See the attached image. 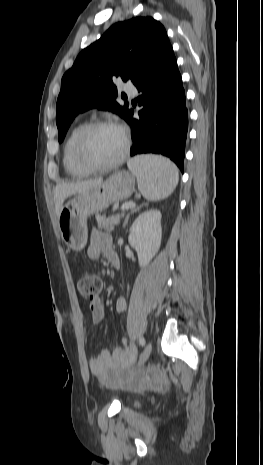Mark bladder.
<instances>
[{
  "label": "bladder",
  "instance_id": "bladder-1",
  "mask_svg": "<svg viewBox=\"0 0 263 465\" xmlns=\"http://www.w3.org/2000/svg\"><path fill=\"white\" fill-rule=\"evenodd\" d=\"M131 404L133 407H136V408L139 407L140 405L138 401H132Z\"/></svg>",
  "mask_w": 263,
  "mask_h": 465
}]
</instances>
